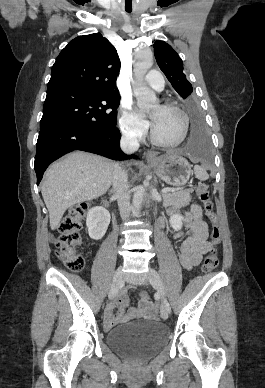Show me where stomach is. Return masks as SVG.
<instances>
[{
	"instance_id": "stomach-1",
	"label": "stomach",
	"mask_w": 265,
	"mask_h": 388,
	"mask_svg": "<svg viewBox=\"0 0 265 388\" xmlns=\"http://www.w3.org/2000/svg\"><path fill=\"white\" fill-rule=\"evenodd\" d=\"M148 163L160 179L174 187L185 185L191 175L188 161L175 153L149 158Z\"/></svg>"
}]
</instances>
